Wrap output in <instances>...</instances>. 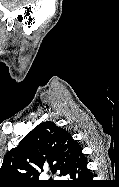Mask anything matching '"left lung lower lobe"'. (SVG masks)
I'll return each mask as SVG.
<instances>
[{
	"label": "left lung lower lobe",
	"instance_id": "obj_1",
	"mask_svg": "<svg viewBox=\"0 0 119 187\" xmlns=\"http://www.w3.org/2000/svg\"><path fill=\"white\" fill-rule=\"evenodd\" d=\"M65 175H71L74 179L88 177L85 158L79 145L73 150L71 161Z\"/></svg>",
	"mask_w": 119,
	"mask_h": 187
}]
</instances>
